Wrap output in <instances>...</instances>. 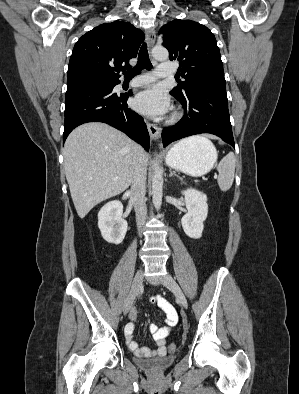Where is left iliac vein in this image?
Returning <instances> with one entry per match:
<instances>
[{
    "label": "left iliac vein",
    "instance_id": "4c4485c4",
    "mask_svg": "<svg viewBox=\"0 0 299 394\" xmlns=\"http://www.w3.org/2000/svg\"><path fill=\"white\" fill-rule=\"evenodd\" d=\"M162 283L165 287H167L170 291L174 293V295L184 308L188 307V303L183 291L170 275H166L165 278L162 280Z\"/></svg>",
    "mask_w": 299,
    "mask_h": 394
}]
</instances>
